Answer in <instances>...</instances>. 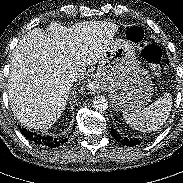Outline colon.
<instances>
[{
    "label": "colon",
    "instance_id": "obj_1",
    "mask_svg": "<svg viewBox=\"0 0 183 183\" xmlns=\"http://www.w3.org/2000/svg\"><path fill=\"white\" fill-rule=\"evenodd\" d=\"M126 36L128 39L137 44L142 58L152 67L154 73L159 74L163 58L162 49L153 43L146 42L145 32L139 26H132L127 29Z\"/></svg>",
    "mask_w": 183,
    "mask_h": 183
}]
</instances>
